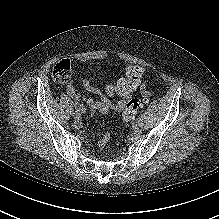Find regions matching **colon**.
<instances>
[{
	"instance_id": "5ec220e1",
	"label": "colon",
	"mask_w": 219,
	"mask_h": 219,
	"mask_svg": "<svg viewBox=\"0 0 219 219\" xmlns=\"http://www.w3.org/2000/svg\"><path fill=\"white\" fill-rule=\"evenodd\" d=\"M72 74L71 62L68 59L58 61L52 70V77L58 83L67 82ZM126 77L118 80L115 84L108 85L105 89V98L101 104V112H108L111 109L109 98L120 96L126 98L121 106L122 120L125 123L131 122L138 109L142 106L143 101L139 98L132 97L137 87L142 83L143 70L138 66L129 65L125 70ZM107 138V137H105Z\"/></svg>"
}]
</instances>
